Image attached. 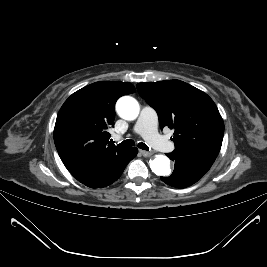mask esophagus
I'll return each instance as SVG.
<instances>
[{
    "mask_svg": "<svg viewBox=\"0 0 267 267\" xmlns=\"http://www.w3.org/2000/svg\"><path fill=\"white\" fill-rule=\"evenodd\" d=\"M140 153L144 156V157H150L153 153L150 151H144V150H140Z\"/></svg>",
    "mask_w": 267,
    "mask_h": 267,
    "instance_id": "34e87169",
    "label": "esophagus"
}]
</instances>
